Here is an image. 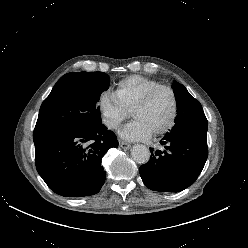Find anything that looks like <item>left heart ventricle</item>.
<instances>
[{
	"mask_svg": "<svg viewBox=\"0 0 248 248\" xmlns=\"http://www.w3.org/2000/svg\"><path fill=\"white\" fill-rule=\"evenodd\" d=\"M171 113L172 96L167 90H160L145 107L134 110L131 117L141 121L153 133L166 125Z\"/></svg>",
	"mask_w": 248,
	"mask_h": 248,
	"instance_id": "left-heart-ventricle-1",
	"label": "left heart ventricle"
}]
</instances>
